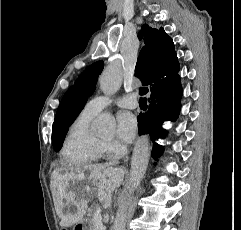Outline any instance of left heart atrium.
<instances>
[{
    "label": "left heart atrium",
    "mask_w": 241,
    "mask_h": 230,
    "mask_svg": "<svg viewBox=\"0 0 241 230\" xmlns=\"http://www.w3.org/2000/svg\"><path fill=\"white\" fill-rule=\"evenodd\" d=\"M137 131L135 116L127 111L120 112L117 116V136L123 142H131Z\"/></svg>",
    "instance_id": "39dd6f15"
}]
</instances>
